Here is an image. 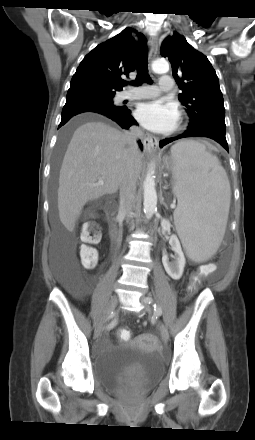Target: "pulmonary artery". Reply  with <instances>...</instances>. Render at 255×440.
<instances>
[{"label":"pulmonary artery","instance_id":"1","mask_svg":"<svg viewBox=\"0 0 255 440\" xmlns=\"http://www.w3.org/2000/svg\"><path fill=\"white\" fill-rule=\"evenodd\" d=\"M174 82L170 75H162L160 77L159 86L148 85L136 88L132 91L123 92L121 99H145L153 98L159 95L161 92H168L173 88Z\"/></svg>","mask_w":255,"mask_h":440}]
</instances>
